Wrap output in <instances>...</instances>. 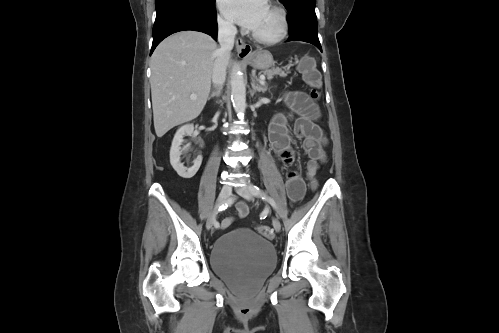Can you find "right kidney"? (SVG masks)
<instances>
[{
	"mask_svg": "<svg viewBox=\"0 0 499 333\" xmlns=\"http://www.w3.org/2000/svg\"><path fill=\"white\" fill-rule=\"evenodd\" d=\"M193 131H194L193 124H186L180 127L173 138L172 146L170 149V163L174 168V170L177 172V174L185 179L192 178L197 173L203 159L201 155L197 156V158L193 161V165L191 167H185L183 163H181L180 161V156L182 152L187 150L190 146V144H187L183 148H181L183 137L185 135L190 136L193 133Z\"/></svg>",
	"mask_w": 499,
	"mask_h": 333,
	"instance_id": "obj_1",
	"label": "right kidney"
}]
</instances>
